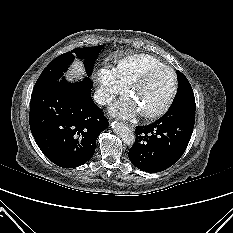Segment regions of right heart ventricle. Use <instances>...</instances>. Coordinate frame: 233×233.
I'll list each match as a JSON object with an SVG mask.
<instances>
[{
    "label": "right heart ventricle",
    "instance_id": "right-heart-ventricle-1",
    "mask_svg": "<svg viewBox=\"0 0 233 233\" xmlns=\"http://www.w3.org/2000/svg\"><path fill=\"white\" fill-rule=\"evenodd\" d=\"M163 65L158 59L146 54H137L123 58L118 62L117 72L126 86L146 69Z\"/></svg>",
    "mask_w": 233,
    "mask_h": 233
}]
</instances>
